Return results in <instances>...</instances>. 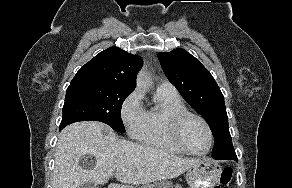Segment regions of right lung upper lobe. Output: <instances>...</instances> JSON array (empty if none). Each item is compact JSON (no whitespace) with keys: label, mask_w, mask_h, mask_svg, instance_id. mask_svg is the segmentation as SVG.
I'll use <instances>...</instances> for the list:
<instances>
[{"label":"right lung upper lobe","mask_w":292,"mask_h":188,"mask_svg":"<svg viewBox=\"0 0 292 188\" xmlns=\"http://www.w3.org/2000/svg\"><path fill=\"white\" fill-rule=\"evenodd\" d=\"M143 60L118 47H110L86 63L71 82H91L133 91Z\"/></svg>","instance_id":"1"}]
</instances>
